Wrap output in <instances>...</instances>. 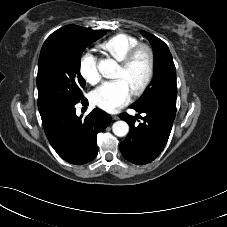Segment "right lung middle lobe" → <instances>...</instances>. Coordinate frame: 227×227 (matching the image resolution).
Masks as SVG:
<instances>
[{
	"label": "right lung middle lobe",
	"instance_id": "obj_1",
	"mask_svg": "<svg viewBox=\"0 0 227 227\" xmlns=\"http://www.w3.org/2000/svg\"><path fill=\"white\" fill-rule=\"evenodd\" d=\"M103 35L79 26H67L46 39L38 61L40 114L59 106L77 104L85 98V80L80 74L81 55Z\"/></svg>",
	"mask_w": 227,
	"mask_h": 227
}]
</instances>
